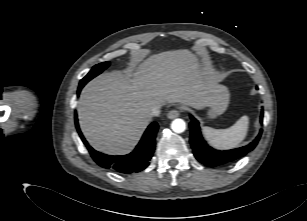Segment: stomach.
<instances>
[{
    "mask_svg": "<svg viewBox=\"0 0 307 221\" xmlns=\"http://www.w3.org/2000/svg\"><path fill=\"white\" fill-rule=\"evenodd\" d=\"M229 91L227 87L219 85L214 100L207 106V116L214 119L225 112L229 103Z\"/></svg>",
    "mask_w": 307,
    "mask_h": 221,
    "instance_id": "obj_1",
    "label": "stomach"
}]
</instances>
